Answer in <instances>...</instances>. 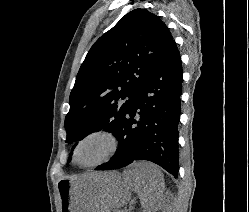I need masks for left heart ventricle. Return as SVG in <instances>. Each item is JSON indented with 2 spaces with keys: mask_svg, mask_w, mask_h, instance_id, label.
<instances>
[{
  "mask_svg": "<svg viewBox=\"0 0 249 212\" xmlns=\"http://www.w3.org/2000/svg\"><path fill=\"white\" fill-rule=\"evenodd\" d=\"M110 149L111 142L107 137L95 136L81 145L77 160L80 164H92L104 158Z\"/></svg>",
  "mask_w": 249,
  "mask_h": 212,
  "instance_id": "left-heart-ventricle-1",
  "label": "left heart ventricle"
}]
</instances>
